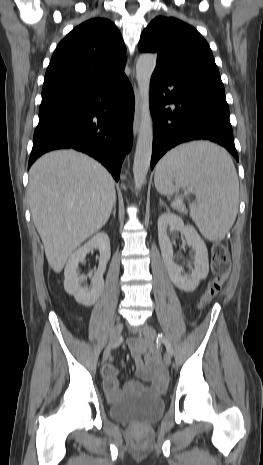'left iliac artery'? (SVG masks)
<instances>
[{
    "label": "left iliac artery",
    "mask_w": 263,
    "mask_h": 465,
    "mask_svg": "<svg viewBox=\"0 0 263 465\" xmlns=\"http://www.w3.org/2000/svg\"><path fill=\"white\" fill-rule=\"evenodd\" d=\"M158 340L165 345L167 352L172 356L173 355V348H172V345H171L170 341L162 333L158 334L157 342H158Z\"/></svg>",
    "instance_id": "44dca946"
}]
</instances>
